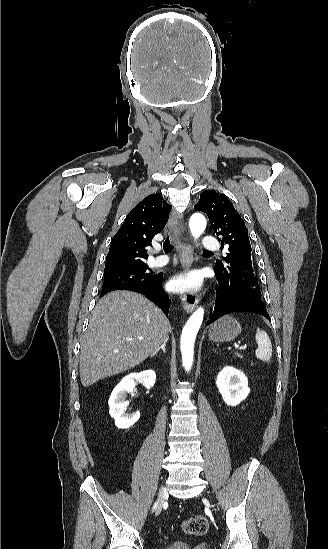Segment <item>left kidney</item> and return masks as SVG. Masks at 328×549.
Here are the masks:
<instances>
[{"mask_svg": "<svg viewBox=\"0 0 328 549\" xmlns=\"http://www.w3.org/2000/svg\"><path fill=\"white\" fill-rule=\"evenodd\" d=\"M216 385L224 403L230 407L239 405L250 393L247 377L234 367H224L216 379Z\"/></svg>", "mask_w": 328, "mask_h": 549, "instance_id": "obj_1", "label": "left kidney"}]
</instances>
